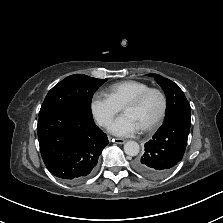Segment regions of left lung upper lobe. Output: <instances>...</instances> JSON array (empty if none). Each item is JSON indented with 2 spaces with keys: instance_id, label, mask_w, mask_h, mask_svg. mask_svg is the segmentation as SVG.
I'll return each instance as SVG.
<instances>
[{
  "instance_id": "5c2ea615",
  "label": "left lung upper lobe",
  "mask_w": 223,
  "mask_h": 223,
  "mask_svg": "<svg viewBox=\"0 0 223 223\" xmlns=\"http://www.w3.org/2000/svg\"><path fill=\"white\" fill-rule=\"evenodd\" d=\"M153 76L157 83L162 87L167 98V108L165 112V121L171 118H184L191 121V108L180 87L171 80L158 75L147 74Z\"/></svg>"
}]
</instances>
